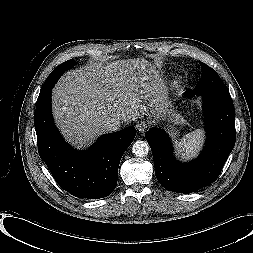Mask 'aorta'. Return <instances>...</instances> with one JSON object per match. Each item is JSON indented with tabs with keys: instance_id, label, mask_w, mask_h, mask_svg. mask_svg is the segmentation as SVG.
<instances>
[{
	"instance_id": "1",
	"label": "aorta",
	"mask_w": 253,
	"mask_h": 253,
	"mask_svg": "<svg viewBox=\"0 0 253 253\" xmlns=\"http://www.w3.org/2000/svg\"><path fill=\"white\" fill-rule=\"evenodd\" d=\"M149 151V145L145 141H136L132 146V152L139 157L146 156Z\"/></svg>"
}]
</instances>
